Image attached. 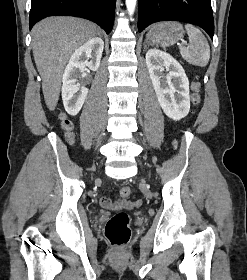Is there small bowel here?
<instances>
[{"mask_svg": "<svg viewBox=\"0 0 247 280\" xmlns=\"http://www.w3.org/2000/svg\"><path fill=\"white\" fill-rule=\"evenodd\" d=\"M101 205L105 208L109 209H117V208H132L140 204L139 201L132 203L126 201H112L110 198L104 197L100 201Z\"/></svg>", "mask_w": 247, "mask_h": 280, "instance_id": "obj_1", "label": "small bowel"}]
</instances>
